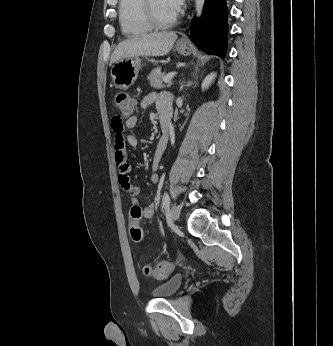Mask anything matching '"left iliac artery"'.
<instances>
[{"instance_id": "obj_1", "label": "left iliac artery", "mask_w": 333, "mask_h": 346, "mask_svg": "<svg viewBox=\"0 0 333 346\" xmlns=\"http://www.w3.org/2000/svg\"><path fill=\"white\" fill-rule=\"evenodd\" d=\"M169 205H170V198H169L168 193L165 192L163 195V199H162V207L164 209H167L169 207Z\"/></svg>"}]
</instances>
